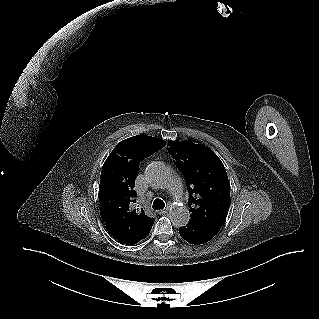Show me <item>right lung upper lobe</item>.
<instances>
[{
  "mask_svg": "<svg viewBox=\"0 0 319 319\" xmlns=\"http://www.w3.org/2000/svg\"><path fill=\"white\" fill-rule=\"evenodd\" d=\"M166 142L147 135H137L118 143L106 159L101 172L99 203L101 218L119 242L132 245L144 239L154 218L132 209L136 192L134 180L139 163L160 150Z\"/></svg>",
  "mask_w": 319,
  "mask_h": 319,
  "instance_id": "cb5924a9",
  "label": "right lung upper lobe"
}]
</instances>
